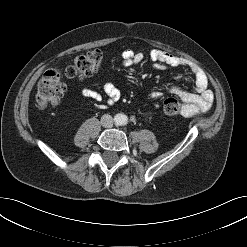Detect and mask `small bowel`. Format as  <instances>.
Segmentation results:
<instances>
[{"mask_svg": "<svg viewBox=\"0 0 247 247\" xmlns=\"http://www.w3.org/2000/svg\"><path fill=\"white\" fill-rule=\"evenodd\" d=\"M123 64L131 66L141 63L145 59L142 52H134L126 50L122 54ZM149 57L153 62V67L157 70L166 67L187 68L194 78L196 92L190 93L176 86L167 85L164 90L170 94L177 96L183 103L181 114L191 117L199 113L206 112L210 109L213 102V93L208 89L207 74L198 65L163 50L153 49L149 53ZM101 92L112 100L120 97L119 89L111 83H104L101 86ZM92 89H84L82 94L85 98L99 101L102 99V93ZM160 92H156L155 96H160Z\"/></svg>", "mask_w": 247, "mask_h": 247, "instance_id": "obj_1", "label": "small bowel"}]
</instances>
